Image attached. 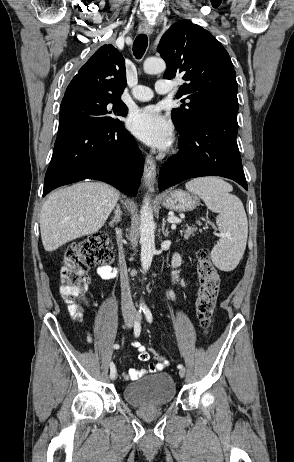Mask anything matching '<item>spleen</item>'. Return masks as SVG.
Masks as SVG:
<instances>
[{
	"instance_id": "obj_1",
	"label": "spleen",
	"mask_w": 294,
	"mask_h": 462,
	"mask_svg": "<svg viewBox=\"0 0 294 462\" xmlns=\"http://www.w3.org/2000/svg\"><path fill=\"white\" fill-rule=\"evenodd\" d=\"M185 187L218 213L216 224L221 238L211 251V259L220 270H233L244 254L248 237L247 216L241 200L230 193L233 187L219 177L196 178Z\"/></svg>"
}]
</instances>
